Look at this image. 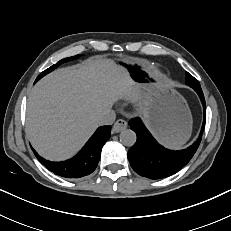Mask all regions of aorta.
Returning <instances> with one entry per match:
<instances>
[{
  "mask_svg": "<svg viewBox=\"0 0 231 231\" xmlns=\"http://www.w3.org/2000/svg\"><path fill=\"white\" fill-rule=\"evenodd\" d=\"M136 138V133L131 129H125L120 133V142L125 146H133Z\"/></svg>",
  "mask_w": 231,
  "mask_h": 231,
  "instance_id": "1",
  "label": "aorta"
}]
</instances>
